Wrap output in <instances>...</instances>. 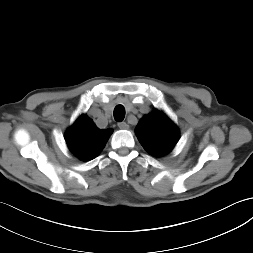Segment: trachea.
<instances>
[{
	"instance_id": "3493384b",
	"label": "trachea",
	"mask_w": 253,
	"mask_h": 253,
	"mask_svg": "<svg viewBox=\"0 0 253 253\" xmlns=\"http://www.w3.org/2000/svg\"><path fill=\"white\" fill-rule=\"evenodd\" d=\"M125 117V108L123 105H117L114 109V119L118 122L123 121Z\"/></svg>"
}]
</instances>
